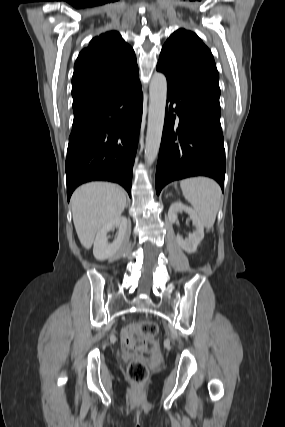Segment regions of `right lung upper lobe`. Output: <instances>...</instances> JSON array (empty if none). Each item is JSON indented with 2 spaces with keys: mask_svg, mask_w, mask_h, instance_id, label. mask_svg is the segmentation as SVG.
Returning <instances> with one entry per match:
<instances>
[{
  "mask_svg": "<svg viewBox=\"0 0 285 427\" xmlns=\"http://www.w3.org/2000/svg\"><path fill=\"white\" fill-rule=\"evenodd\" d=\"M139 75L133 49L116 31L93 38L74 65L73 106Z\"/></svg>",
  "mask_w": 285,
  "mask_h": 427,
  "instance_id": "1",
  "label": "right lung upper lobe"
}]
</instances>
